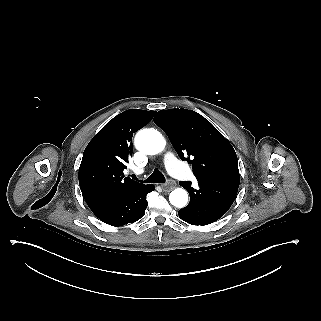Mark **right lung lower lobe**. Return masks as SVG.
<instances>
[{"instance_id": "98d812e1", "label": "right lung lower lobe", "mask_w": 321, "mask_h": 321, "mask_svg": "<svg viewBox=\"0 0 321 321\" xmlns=\"http://www.w3.org/2000/svg\"><path fill=\"white\" fill-rule=\"evenodd\" d=\"M155 189L154 185H143L128 195L91 208L104 223L122 226L138 221L147 208L146 195Z\"/></svg>"}]
</instances>
